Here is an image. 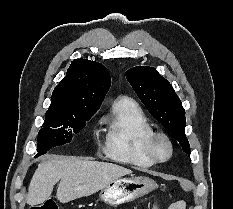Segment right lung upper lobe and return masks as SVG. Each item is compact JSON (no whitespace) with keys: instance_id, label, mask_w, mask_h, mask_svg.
Returning <instances> with one entry per match:
<instances>
[{"instance_id":"right-lung-upper-lobe-1","label":"right lung upper lobe","mask_w":233,"mask_h":209,"mask_svg":"<svg viewBox=\"0 0 233 209\" xmlns=\"http://www.w3.org/2000/svg\"><path fill=\"white\" fill-rule=\"evenodd\" d=\"M111 86V77L102 64L75 59L52 93L46 115L62 114L83 107L99 108Z\"/></svg>"}]
</instances>
